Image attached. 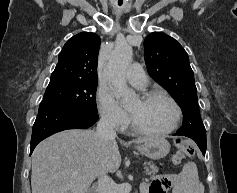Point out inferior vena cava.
Segmentation results:
<instances>
[{
    "label": "inferior vena cava",
    "mask_w": 237,
    "mask_h": 193,
    "mask_svg": "<svg viewBox=\"0 0 237 193\" xmlns=\"http://www.w3.org/2000/svg\"><path fill=\"white\" fill-rule=\"evenodd\" d=\"M96 135L101 141L115 139L117 134L114 130L112 120L102 116L96 127ZM98 193H116V184L105 172L98 176Z\"/></svg>",
    "instance_id": "1"
}]
</instances>
